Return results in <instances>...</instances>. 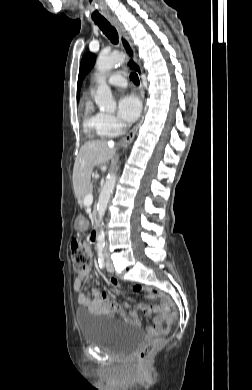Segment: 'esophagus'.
Listing matches in <instances>:
<instances>
[{"label":"esophagus","instance_id":"obj_1","mask_svg":"<svg viewBox=\"0 0 252 390\" xmlns=\"http://www.w3.org/2000/svg\"><path fill=\"white\" fill-rule=\"evenodd\" d=\"M107 19L115 27V29L117 30V32L119 34L123 50L126 54L127 64L129 66V68H131L133 71H135L137 73V75L139 76V78L141 79L142 78L141 66L139 65V63L136 60L135 49H134L131 41L129 40L127 34L125 33L122 25L115 17L108 16ZM140 123H141V121L139 123H137L133 127V129L130 130V132L124 138H122L120 140L119 145L121 147H126L127 145H129L132 142V140L135 136V133L138 130Z\"/></svg>","mask_w":252,"mask_h":390}]
</instances>
